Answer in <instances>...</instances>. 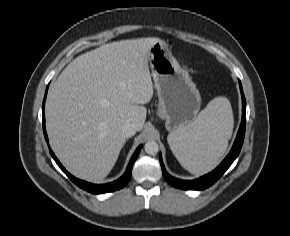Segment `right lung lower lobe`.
Segmentation results:
<instances>
[{"label":"right lung lower lobe","instance_id":"98d812e1","mask_svg":"<svg viewBox=\"0 0 290 236\" xmlns=\"http://www.w3.org/2000/svg\"><path fill=\"white\" fill-rule=\"evenodd\" d=\"M47 89H46L45 97H44V101H43L42 112H43V132H44L45 139L48 142V137H47L46 130H45V116H44V106H45ZM140 150H141V146H139L137 148V150L135 151V153L133 154V156L128 164L127 170L121 178H119L118 180H116L114 182L107 183V184H101V185L91 184V183H88V182H85V181H82V180L75 178L69 172H67L65 170V168L61 165V163L56 158V156L54 155V153L52 152L51 149H50V154L54 158V160L56 161L58 166L61 168V170L71 179V181L73 183H75L77 186H79L80 188H82L90 193L100 194V193H106V192H112V191L118 190V189L124 187L128 183V181L131 177L133 164H134L135 160L137 159Z\"/></svg>","mask_w":290,"mask_h":236}]
</instances>
